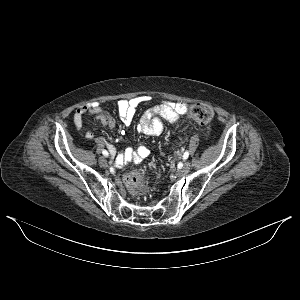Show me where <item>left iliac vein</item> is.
Wrapping results in <instances>:
<instances>
[{
	"label": "left iliac vein",
	"instance_id": "left-iliac-vein-1",
	"mask_svg": "<svg viewBox=\"0 0 300 300\" xmlns=\"http://www.w3.org/2000/svg\"><path fill=\"white\" fill-rule=\"evenodd\" d=\"M191 169V163L189 161L185 162L183 167L178 171L179 176L186 175Z\"/></svg>",
	"mask_w": 300,
	"mask_h": 300
}]
</instances>
